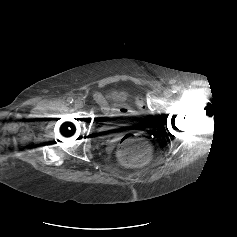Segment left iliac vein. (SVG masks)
Wrapping results in <instances>:
<instances>
[{
  "mask_svg": "<svg viewBox=\"0 0 237 237\" xmlns=\"http://www.w3.org/2000/svg\"><path fill=\"white\" fill-rule=\"evenodd\" d=\"M172 95H173V93H172V90H171V89H166V90L164 91V96H165V97L169 98V97H171Z\"/></svg>",
  "mask_w": 237,
  "mask_h": 237,
  "instance_id": "left-iliac-vein-1",
  "label": "left iliac vein"
}]
</instances>
